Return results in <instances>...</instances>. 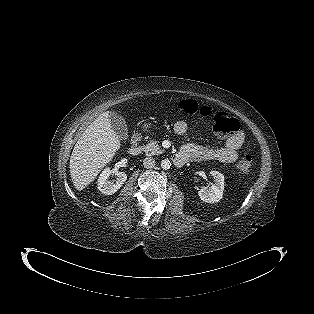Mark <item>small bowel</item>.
Returning <instances> with one entry per match:
<instances>
[{
	"mask_svg": "<svg viewBox=\"0 0 314 314\" xmlns=\"http://www.w3.org/2000/svg\"><path fill=\"white\" fill-rule=\"evenodd\" d=\"M176 135L185 137L188 133V126L184 121H178L173 126ZM245 137L238 132L229 137L223 147L207 148L193 143H187L181 148L179 155L186 161H214L220 163H233L239 156V150L244 143Z\"/></svg>",
	"mask_w": 314,
	"mask_h": 314,
	"instance_id": "1",
	"label": "small bowel"
}]
</instances>
